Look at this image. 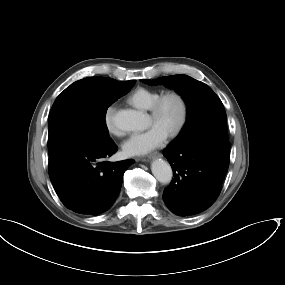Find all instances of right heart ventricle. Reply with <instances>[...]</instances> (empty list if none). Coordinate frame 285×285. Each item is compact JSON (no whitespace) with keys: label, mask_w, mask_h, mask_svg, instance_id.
Returning a JSON list of instances; mask_svg holds the SVG:
<instances>
[{"label":"right heart ventricle","mask_w":285,"mask_h":285,"mask_svg":"<svg viewBox=\"0 0 285 285\" xmlns=\"http://www.w3.org/2000/svg\"><path fill=\"white\" fill-rule=\"evenodd\" d=\"M160 95L159 91L139 87L128 96L127 101L138 109L148 110Z\"/></svg>","instance_id":"e07e8e85"}]
</instances>
